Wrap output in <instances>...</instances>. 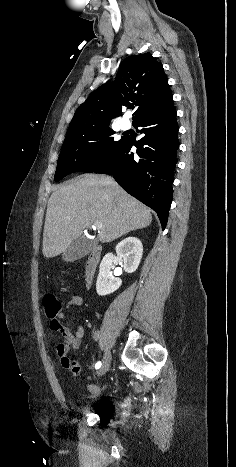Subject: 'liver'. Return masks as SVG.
Returning <instances> with one entry per match:
<instances>
[{
	"instance_id": "1",
	"label": "liver",
	"mask_w": 236,
	"mask_h": 467,
	"mask_svg": "<svg viewBox=\"0 0 236 467\" xmlns=\"http://www.w3.org/2000/svg\"><path fill=\"white\" fill-rule=\"evenodd\" d=\"M151 210L125 192L111 177L85 174L59 186L48 200L43 231V255L55 257L84 229L102 224L98 240L111 242L130 231L146 228Z\"/></svg>"
}]
</instances>
